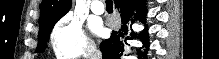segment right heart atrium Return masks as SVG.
I'll list each match as a JSON object with an SVG mask.
<instances>
[{
    "label": "right heart atrium",
    "mask_w": 219,
    "mask_h": 59,
    "mask_svg": "<svg viewBox=\"0 0 219 59\" xmlns=\"http://www.w3.org/2000/svg\"><path fill=\"white\" fill-rule=\"evenodd\" d=\"M50 44L59 59L88 57L94 49V43L85 33L81 22L72 15L63 16L54 25Z\"/></svg>",
    "instance_id": "d8ad5b80"
}]
</instances>
